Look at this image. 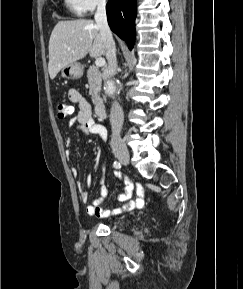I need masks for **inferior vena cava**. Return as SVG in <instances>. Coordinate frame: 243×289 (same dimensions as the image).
I'll list each match as a JSON object with an SVG mask.
<instances>
[{
    "label": "inferior vena cava",
    "instance_id": "1",
    "mask_svg": "<svg viewBox=\"0 0 243 289\" xmlns=\"http://www.w3.org/2000/svg\"><path fill=\"white\" fill-rule=\"evenodd\" d=\"M95 22L100 30V35L104 40L106 47V59L108 61V67L106 69V77H112L116 74L117 58H116V46L112 37L111 30L109 28L106 16V0H98L97 10L95 13ZM124 120V114L119 104L114 101L112 103V112L110 116L112 135H111V148L113 153L120 151H126V145L122 141L120 132L122 129Z\"/></svg>",
    "mask_w": 243,
    "mask_h": 289
}]
</instances>
